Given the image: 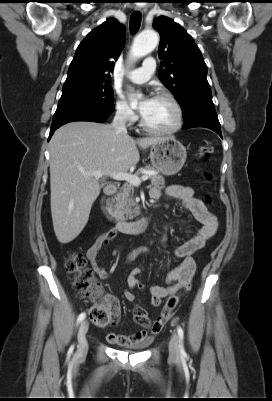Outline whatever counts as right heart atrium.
Instances as JSON below:
<instances>
[{
  "label": "right heart atrium",
  "instance_id": "obj_1",
  "mask_svg": "<svg viewBox=\"0 0 272 401\" xmlns=\"http://www.w3.org/2000/svg\"><path fill=\"white\" fill-rule=\"evenodd\" d=\"M115 117L122 123L130 125L135 122L136 115L122 98L114 101Z\"/></svg>",
  "mask_w": 272,
  "mask_h": 401
}]
</instances>
